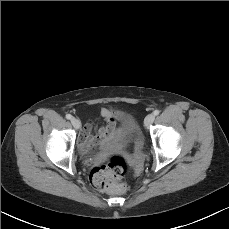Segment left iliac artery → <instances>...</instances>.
<instances>
[{
  "label": "left iliac artery",
  "mask_w": 229,
  "mask_h": 229,
  "mask_svg": "<svg viewBox=\"0 0 229 229\" xmlns=\"http://www.w3.org/2000/svg\"><path fill=\"white\" fill-rule=\"evenodd\" d=\"M159 113H160L159 110H155V111L153 112V114H154L155 116L159 115Z\"/></svg>",
  "instance_id": "1"
}]
</instances>
